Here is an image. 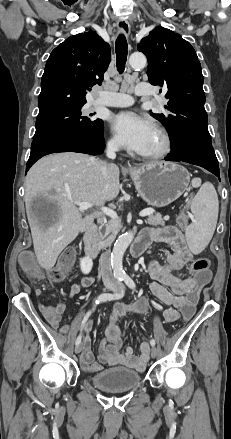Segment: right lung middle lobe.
Masks as SVG:
<instances>
[{"label": "right lung middle lobe", "mask_w": 231, "mask_h": 439, "mask_svg": "<svg viewBox=\"0 0 231 439\" xmlns=\"http://www.w3.org/2000/svg\"><path fill=\"white\" fill-rule=\"evenodd\" d=\"M81 107L65 109L37 118L36 132L33 139L62 133L80 135L101 133L103 131V121L101 119H91L89 116H82Z\"/></svg>", "instance_id": "dd1d6c3e"}]
</instances>
